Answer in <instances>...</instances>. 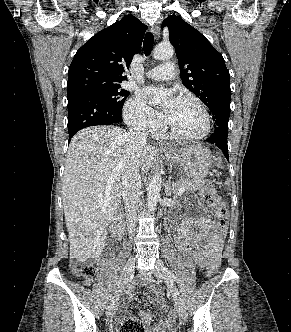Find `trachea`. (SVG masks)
<instances>
[{
	"instance_id": "1",
	"label": "trachea",
	"mask_w": 291,
	"mask_h": 332,
	"mask_svg": "<svg viewBox=\"0 0 291 332\" xmlns=\"http://www.w3.org/2000/svg\"><path fill=\"white\" fill-rule=\"evenodd\" d=\"M154 43V36L152 33L147 32L144 38L143 49L145 56H149L151 54Z\"/></svg>"
}]
</instances>
